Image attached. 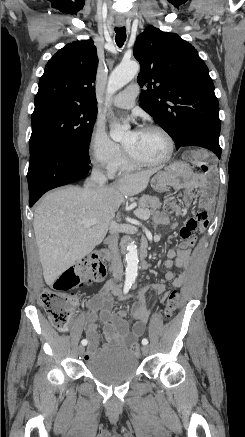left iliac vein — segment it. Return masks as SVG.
I'll return each instance as SVG.
<instances>
[{
  "instance_id": "4c4485c4",
  "label": "left iliac vein",
  "mask_w": 245,
  "mask_h": 437,
  "mask_svg": "<svg viewBox=\"0 0 245 437\" xmlns=\"http://www.w3.org/2000/svg\"><path fill=\"white\" fill-rule=\"evenodd\" d=\"M142 353L143 355H147L149 353V348L146 345L142 347Z\"/></svg>"
}]
</instances>
